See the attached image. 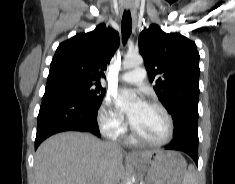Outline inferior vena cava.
I'll return each mask as SVG.
<instances>
[{"instance_id": "1", "label": "inferior vena cava", "mask_w": 235, "mask_h": 184, "mask_svg": "<svg viewBox=\"0 0 235 184\" xmlns=\"http://www.w3.org/2000/svg\"><path fill=\"white\" fill-rule=\"evenodd\" d=\"M109 144H112V146H117V144H114V142H109Z\"/></svg>"}]
</instances>
